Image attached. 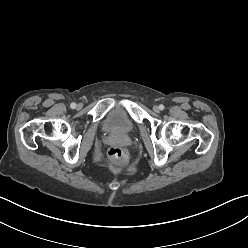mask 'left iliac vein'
<instances>
[{
	"instance_id": "1",
	"label": "left iliac vein",
	"mask_w": 248,
	"mask_h": 248,
	"mask_svg": "<svg viewBox=\"0 0 248 248\" xmlns=\"http://www.w3.org/2000/svg\"><path fill=\"white\" fill-rule=\"evenodd\" d=\"M153 110H154L155 112H159V111H160L159 106H157V105L153 106Z\"/></svg>"
}]
</instances>
